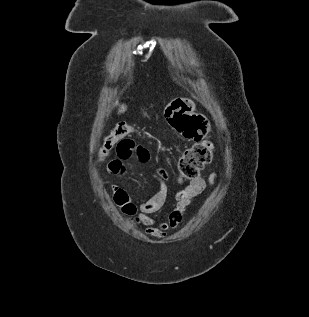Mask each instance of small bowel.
I'll list each match as a JSON object with an SVG mask.
<instances>
[{"mask_svg":"<svg viewBox=\"0 0 309 317\" xmlns=\"http://www.w3.org/2000/svg\"><path fill=\"white\" fill-rule=\"evenodd\" d=\"M133 148L132 143L126 142L124 150H118V157L111 160L107 165L108 174L116 177L125 175L127 160L135 152ZM136 157L142 163H146L150 159L147 150L142 155H136ZM152 176L157 181L159 188L149 199L141 204L135 203L127 190L116 184L110 185L111 196L116 206L126 215L127 221L131 226L141 228L148 236L163 239L168 235L169 231L179 226L186 208L192 205L207 187L216 185L218 173L212 172L207 180L202 177L194 179L187 188L173 193V208L160 223H157L153 214L158 212L168 199V174L162 167H157Z\"/></svg>","mask_w":309,"mask_h":317,"instance_id":"c3829d8e","label":"small bowel"}]
</instances>
